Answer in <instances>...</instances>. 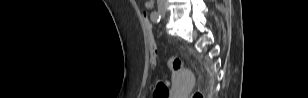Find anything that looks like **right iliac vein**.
<instances>
[{"instance_id": "63e3f726", "label": "right iliac vein", "mask_w": 308, "mask_h": 98, "mask_svg": "<svg viewBox=\"0 0 308 98\" xmlns=\"http://www.w3.org/2000/svg\"><path fill=\"white\" fill-rule=\"evenodd\" d=\"M158 10H159V12H160L161 14H165V13H166V6L160 5V6L158 7Z\"/></svg>"}]
</instances>
